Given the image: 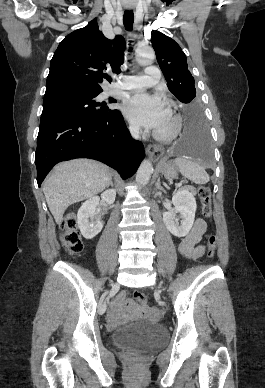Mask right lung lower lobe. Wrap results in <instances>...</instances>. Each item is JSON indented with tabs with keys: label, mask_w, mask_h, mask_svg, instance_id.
Wrapping results in <instances>:
<instances>
[{
	"label": "right lung lower lobe",
	"mask_w": 265,
	"mask_h": 388,
	"mask_svg": "<svg viewBox=\"0 0 265 388\" xmlns=\"http://www.w3.org/2000/svg\"><path fill=\"white\" fill-rule=\"evenodd\" d=\"M80 157L99 160L127 179L144 158V146L131 138L118 110L105 117L67 115L41 121L35 155L38 186L55 164Z\"/></svg>",
	"instance_id": "obj_1"
}]
</instances>
